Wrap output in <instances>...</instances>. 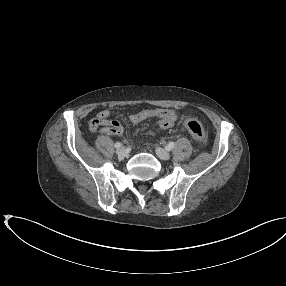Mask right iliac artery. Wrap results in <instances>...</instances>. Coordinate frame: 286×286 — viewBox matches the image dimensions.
Returning a JSON list of instances; mask_svg holds the SVG:
<instances>
[{
    "label": "right iliac artery",
    "instance_id": "82829eb1",
    "mask_svg": "<svg viewBox=\"0 0 286 286\" xmlns=\"http://www.w3.org/2000/svg\"><path fill=\"white\" fill-rule=\"evenodd\" d=\"M121 145H122V144H121L120 142H117V143H115L114 146H115V148H119V147H121Z\"/></svg>",
    "mask_w": 286,
    "mask_h": 286
}]
</instances>
